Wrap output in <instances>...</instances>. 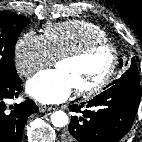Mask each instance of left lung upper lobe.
<instances>
[{
	"label": "left lung upper lobe",
	"instance_id": "1",
	"mask_svg": "<svg viewBox=\"0 0 142 142\" xmlns=\"http://www.w3.org/2000/svg\"><path fill=\"white\" fill-rule=\"evenodd\" d=\"M122 65H123V61L121 59L119 62L120 68H122ZM125 66H127V70L124 72V74L119 79L114 80L112 83H110L108 86H106L105 89L111 87L112 85L122 83L125 81H129V80L140 81L139 71H138L135 60L132 59L131 64L127 65V63H126Z\"/></svg>",
	"mask_w": 142,
	"mask_h": 142
}]
</instances>
